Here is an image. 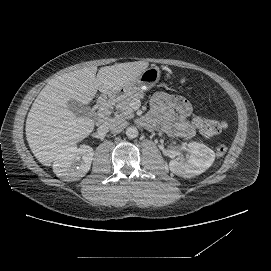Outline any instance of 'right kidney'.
<instances>
[{"instance_id":"right-kidney-1","label":"right kidney","mask_w":271,"mask_h":271,"mask_svg":"<svg viewBox=\"0 0 271 271\" xmlns=\"http://www.w3.org/2000/svg\"><path fill=\"white\" fill-rule=\"evenodd\" d=\"M94 151L88 145L67 147L53 163V172L63 181H77L91 167Z\"/></svg>"}]
</instances>
